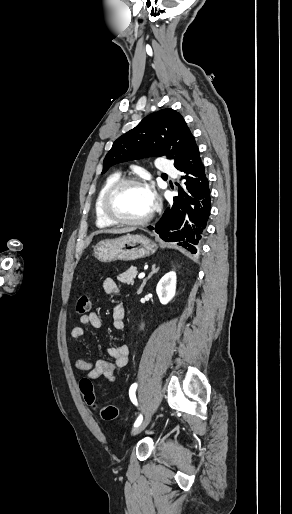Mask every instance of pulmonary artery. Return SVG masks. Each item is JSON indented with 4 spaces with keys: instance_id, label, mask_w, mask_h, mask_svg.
Wrapping results in <instances>:
<instances>
[{
    "instance_id": "pulmonary-artery-1",
    "label": "pulmonary artery",
    "mask_w": 292,
    "mask_h": 514,
    "mask_svg": "<svg viewBox=\"0 0 292 514\" xmlns=\"http://www.w3.org/2000/svg\"><path fill=\"white\" fill-rule=\"evenodd\" d=\"M156 163V169L160 172H169L171 170V163L169 161H163L161 158H158Z\"/></svg>"
}]
</instances>
